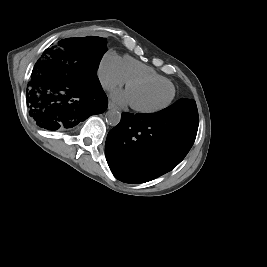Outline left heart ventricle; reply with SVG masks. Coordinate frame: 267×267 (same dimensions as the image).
Listing matches in <instances>:
<instances>
[{
  "label": "left heart ventricle",
  "instance_id": "b2bd125f",
  "mask_svg": "<svg viewBox=\"0 0 267 267\" xmlns=\"http://www.w3.org/2000/svg\"><path fill=\"white\" fill-rule=\"evenodd\" d=\"M127 91L130 102L141 107L160 106L172 95V88L169 85L154 83L134 84Z\"/></svg>",
  "mask_w": 267,
  "mask_h": 267
}]
</instances>
